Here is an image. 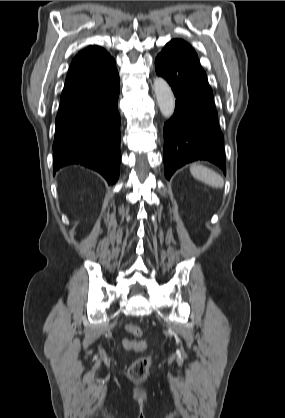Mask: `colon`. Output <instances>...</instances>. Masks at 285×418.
Here are the masks:
<instances>
[{"instance_id": "obj_1", "label": "colon", "mask_w": 285, "mask_h": 418, "mask_svg": "<svg viewBox=\"0 0 285 418\" xmlns=\"http://www.w3.org/2000/svg\"><path fill=\"white\" fill-rule=\"evenodd\" d=\"M127 331L136 337H140L142 335L141 328L134 325H128ZM151 364L152 358L150 355L136 359L129 368V376L134 380L146 377Z\"/></svg>"}]
</instances>
